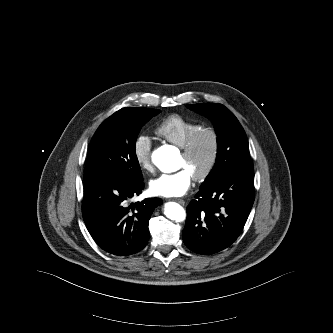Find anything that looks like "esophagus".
I'll return each mask as SVG.
<instances>
[{
  "label": "esophagus",
  "mask_w": 333,
  "mask_h": 333,
  "mask_svg": "<svg viewBox=\"0 0 333 333\" xmlns=\"http://www.w3.org/2000/svg\"><path fill=\"white\" fill-rule=\"evenodd\" d=\"M176 202H178L179 204L181 205H184L185 204V201L182 200V199H175Z\"/></svg>",
  "instance_id": "esophagus-1"
}]
</instances>
